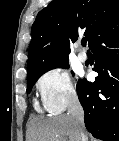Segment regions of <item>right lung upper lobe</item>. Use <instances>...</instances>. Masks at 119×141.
Instances as JSON below:
<instances>
[{
  "mask_svg": "<svg viewBox=\"0 0 119 141\" xmlns=\"http://www.w3.org/2000/svg\"><path fill=\"white\" fill-rule=\"evenodd\" d=\"M117 17L119 0L52 1L32 25L27 75L68 64L69 39L76 41L84 30L90 47L98 31Z\"/></svg>",
  "mask_w": 119,
  "mask_h": 141,
  "instance_id": "cb5924a9",
  "label": "right lung upper lobe"
}]
</instances>
